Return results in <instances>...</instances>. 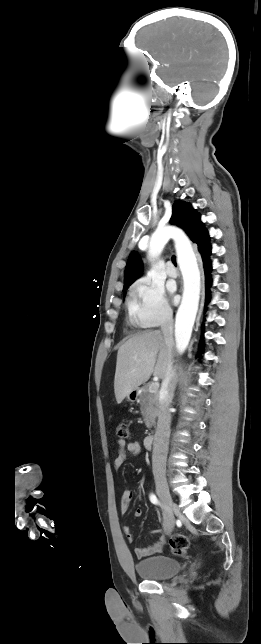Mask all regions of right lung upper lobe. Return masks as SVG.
<instances>
[{
    "instance_id": "right-lung-upper-lobe-1",
    "label": "right lung upper lobe",
    "mask_w": 261,
    "mask_h": 644,
    "mask_svg": "<svg viewBox=\"0 0 261 644\" xmlns=\"http://www.w3.org/2000/svg\"><path fill=\"white\" fill-rule=\"evenodd\" d=\"M172 212L170 223L182 228L190 239L198 245V250L202 258L209 256L211 254V246L209 244L208 232L200 221L199 214L192 208L191 204L185 201H176L172 206ZM141 272V259L133 251L129 255L125 269L124 288H128L140 276Z\"/></svg>"
}]
</instances>
